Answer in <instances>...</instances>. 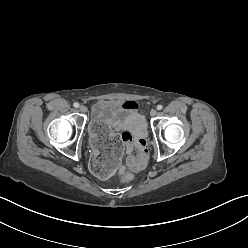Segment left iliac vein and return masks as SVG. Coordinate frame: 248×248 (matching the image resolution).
Instances as JSON below:
<instances>
[{
    "label": "left iliac vein",
    "mask_w": 248,
    "mask_h": 248,
    "mask_svg": "<svg viewBox=\"0 0 248 248\" xmlns=\"http://www.w3.org/2000/svg\"><path fill=\"white\" fill-rule=\"evenodd\" d=\"M157 114V111H156V109H151V111H150V116H155Z\"/></svg>",
    "instance_id": "left-iliac-vein-1"
}]
</instances>
